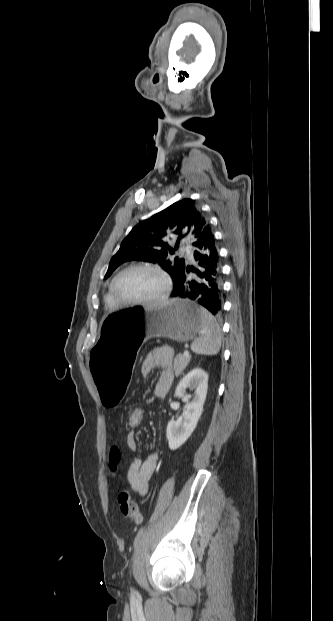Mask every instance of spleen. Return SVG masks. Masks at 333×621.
Listing matches in <instances>:
<instances>
[{
  "instance_id": "spleen-1",
  "label": "spleen",
  "mask_w": 333,
  "mask_h": 621,
  "mask_svg": "<svg viewBox=\"0 0 333 621\" xmlns=\"http://www.w3.org/2000/svg\"><path fill=\"white\" fill-rule=\"evenodd\" d=\"M201 336L191 344L193 352L199 355H216L221 348L222 333L214 316L205 308H200Z\"/></svg>"
}]
</instances>
